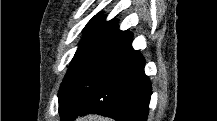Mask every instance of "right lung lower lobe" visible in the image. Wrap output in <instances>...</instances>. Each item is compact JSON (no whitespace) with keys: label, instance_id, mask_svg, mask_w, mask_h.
Instances as JSON below:
<instances>
[{"label":"right lung lower lobe","instance_id":"98d812e1","mask_svg":"<svg viewBox=\"0 0 217 121\" xmlns=\"http://www.w3.org/2000/svg\"><path fill=\"white\" fill-rule=\"evenodd\" d=\"M122 32L94 64L59 95L62 121L89 113L118 121H146L152 88L145 60Z\"/></svg>","mask_w":217,"mask_h":121}]
</instances>
